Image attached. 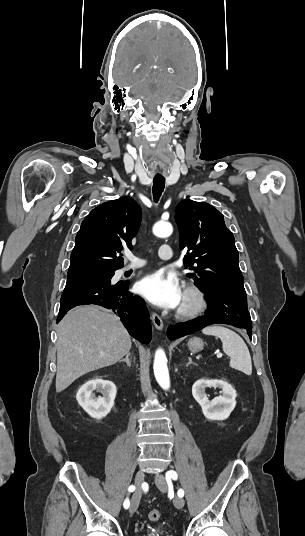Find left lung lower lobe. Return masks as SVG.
Wrapping results in <instances>:
<instances>
[{
	"mask_svg": "<svg viewBox=\"0 0 305 536\" xmlns=\"http://www.w3.org/2000/svg\"><path fill=\"white\" fill-rule=\"evenodd\" d=\"M207 293L208 309L205 316L170 326L167 335L170 340L192 334L211 324H229L247 330L252 338V323L247 309V296L241 290H214Z\"/></svg>",
	"mask_w": 305,
	"mask_h": 536,
	"instance_id": "1",
	"label": "left lung lower lobe"
}]
</instances>
